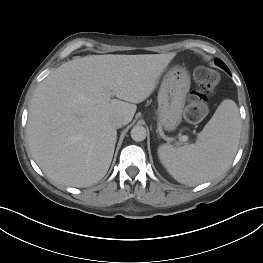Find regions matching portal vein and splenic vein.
<instances>
[{
  "label": "portal vein and splenic vein",
  "mask_w": 263,
  "mask_h": 263,
  "mask_svg": "<svg viewBox=\"0 0 263 263\" xmlns=\"http://www.w3.org/2000/svg\"><path fill=\"white\" fill-rule=\"evenodd\" d=\"M180 139L183 141V142H186L188 140V137L186 135H183L180 137Z\"/></svg>",
  "instance_id": "1"
}]
</instances>
